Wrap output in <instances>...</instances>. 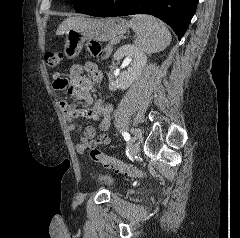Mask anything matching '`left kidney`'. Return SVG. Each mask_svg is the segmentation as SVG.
<instances>
[{"label":"left kidney","mask_w":240,"mask_h":238,"mask_svg":"<svg viewBox=\"0 0 240 238\" xmlns=\"http://www.w3.org/2000/svg\"><path fill=\"white\" fill-rule=\"evenodd\" d=\"M123 57H125L126 61L132 62L131 66L127 68V71H122L116 81L111 82V88L127 89L137 78L147 60L144 52L137 45L132 44H126L118 48L113 59L118 62ZM108 77L111 79L110 73H108Z\"/></svg>","instance_id":"1"}]
</instances>
